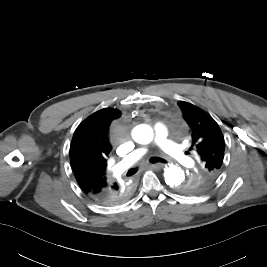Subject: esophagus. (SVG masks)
<instances>
[{
    "label": "esophagus",
    "instance_id": "obj_1",
    "mask_svg": "<svg viewBox=\"0 0 267 267\" xmlns=\"http://www.w3.org/2000/svg\"><path fill=\"white\" fill-rule=\"evenodd\" d=\"M164 165L163 164H160V163H157V164H150L149 167L151 169H155V170H159L163 167Z\"/></svg>",
    "mask_w": 267,
    "mask_h": 267
}]
</instances>
